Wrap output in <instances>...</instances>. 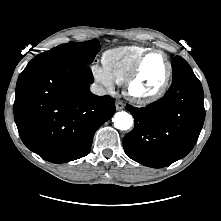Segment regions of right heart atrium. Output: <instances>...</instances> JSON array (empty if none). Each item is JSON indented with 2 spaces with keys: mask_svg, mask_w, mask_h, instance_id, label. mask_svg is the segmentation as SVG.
Listing matches in <instances>:
<instances>
[{
  "mask_svg": "<svg viewBox=\"0 0 221 221\" xmlns=\"http://www.w3.org/2000/svg\"><path fill=\"white\" fill-rule=\"evenodd\" d=\"M91 74L94 80L103 86L107 91H113L114 82L111 80L102 66L97 64L92 65Z\"/></svg>",
  "mask_w": 221,
  "mask_h": 221,
  "instance_id": "1",
  "label": "right heart atrium"
}]
</instances>
